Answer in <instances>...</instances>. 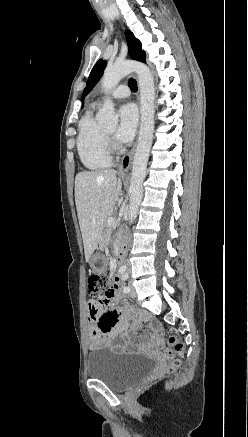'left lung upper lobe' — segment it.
<instances>
[{"mask_svg": "<svg viewBox=\"0 0 248 437\" xmlns=\"http://www.w3.org/2000/svg\"><path fill=\"white\" fill-rule=\"evenodd\" d=\"M126 39L128 43L129 48V54L130 57L134 60H138L141 62H146V54L141 49V43L139 40H137L133 34L130 31H126ZM107 65V62L100 59L93 67L88 81L86 88L83 91V98L93 89V87L96 85V83L100 80L101 76L103 75V71Z\"/></svg>", "mask_w": 248, "mask_h": 437, "instance_id": "1", "label": "left lung upper lobe"}]
</instances>
